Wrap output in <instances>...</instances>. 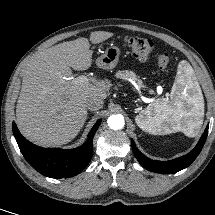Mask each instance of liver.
<instances>
[{"label": "liver", "instance_id": "obj_1", "mask_svg": "<svg viewBox=\"0 0 215 215\" xmlns=\"http://www.w3.org/2000/svg\"><path fill=\"white\" fill-rule=\"evenodd\" d=\"M113 33L95 31L93 44ZM87 38L67 41L38 51L29 60L16 106L21 133L40 146L63 145L77 136L87 118L85 102L91 97L104 100L107 86L94 80L75 85L72 70H87L92 65V51Z\"/></svg>", "mask_w": 215, "mask_h": 215}]
</instances>
